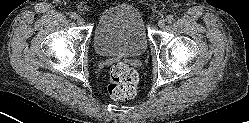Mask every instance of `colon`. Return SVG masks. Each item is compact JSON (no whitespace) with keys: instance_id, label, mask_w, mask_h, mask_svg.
Returning a JSON list of instances; mask_svg holds the SVG:
<instances>
[{"instance_id":"colon-1","label":"colon","mask_w":249,"mask_h":123,"mask_svg":"<svg viewBox=\"0 0 249 123\" xmlns=\"http://www.w3.org/2000/svg\"><path fill=\"white\" fill-rule=\"evenodd\" d=\"M138 74L128 64L118 61L109 69L107 90L115 100H129L135 96Z\"/></svg>"}]
</instances>
